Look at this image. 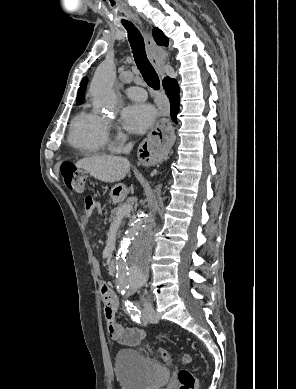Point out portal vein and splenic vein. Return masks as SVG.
<instances>
[{
  "label": "portal vein and splenic vein",
  "mask_w": 296,
  "mask_h": 389,
  "mask_svg": "<svg viewBox=\"0 0 296 389\" xmlns=\"http://www.w3.org/2000/svg\"><path fill=\"white\" fill-rule=\"evenodd\" d=\"M132 205L131 204H127V205H124L122 206L118 213H117V218H122L123 216H125L126 214H128L131 210H132Z\"/></svg>",
  "instance_id": "portal-vein-and-splenic-vein-1"
}]
</instances>
